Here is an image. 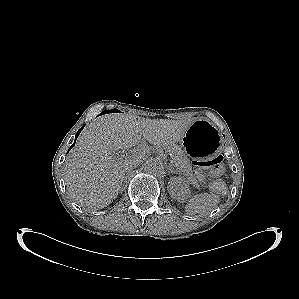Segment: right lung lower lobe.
Here are the masks:
<instances>
[{
	"label": "right lung lower lobe",
	"instance_id": "1",
	"mask_svg": "<svg viewBox=\"0 0 299 299\" xmlns=\"http://www.w3.org/2000/svg\"><path fill=\"white\" fill-rule=\"evenodd\" d=\"M82 129H83V127H81V128L78 130V132H77V134H76V139H77L78 135L80 134V132L82 131ZM74 144H75V143H74ZM74 144L69 148L68 152H69L70 149L74 146Z\"/></svg>",
	"mask_w": 299,
	"mask_h": 299
}]
</instances>
